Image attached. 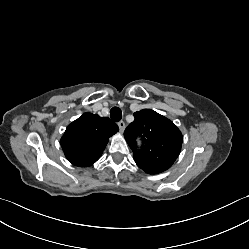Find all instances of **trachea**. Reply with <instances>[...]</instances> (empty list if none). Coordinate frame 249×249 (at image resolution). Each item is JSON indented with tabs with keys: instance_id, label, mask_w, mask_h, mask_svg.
Instances as JSON below:
<instances>
[{
	"instance_id": "trachea-1",
	"label": "trachea",
	"mask_w": 249,
	"mask_h": 249,
	"mask_svg": "<svg viewBox=\"0 0 249 249\" xmlns=\"http://www.w3.org/2000/svg\"><path fill=\"white\" fill-rule=\"evenodd\" d=\"M110 117L112 118V120H114L116 122L120 121L122 118L121 109L118 107H113L110 111Z\"/></svg>"
}]
</instances>
